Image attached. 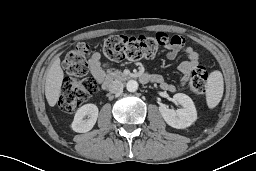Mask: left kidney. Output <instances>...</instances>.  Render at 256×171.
I'll return each instance as SVG.
<instances>
[{"instance_id":"obj_1","label":"left kidney","mask_w":256,"mask_h":171,"mask_svg":"<svg viewBox=\"0 0 256 171\" xmlns=\"http://www.w3.org/2000/svg\"><path fill=\"white\" fill-rule=\"evenodd\" d=\"M173 100L183 108L175 111L164 105L159 106V111L165 122L176 129H184L192 125L197 119V111L192 99L186 94L177 93L173 96Z\"/></svg>"}]
</instances>
